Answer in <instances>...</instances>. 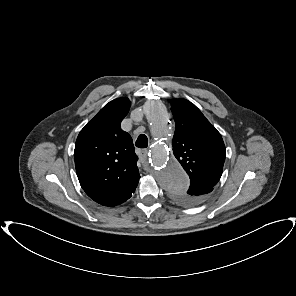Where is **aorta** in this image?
<instances>
[{"label":"aorta","instance_id":"aorta-1","mask_svg":"<svg viewBox=\"0 0 296 296\" xmlns=\"http://www.w3.org/2000/svg\"><path fill=\"white\" fill-rule=\"evenodd\" d=\"M144 111L151 123L149 156L158 182L169 192L184 191L189 179L178 161L174 158L173 124L165 107L158 101L145 104Z\"/></svg>","mask_w":296,"mask_h":296}]
</instances>
